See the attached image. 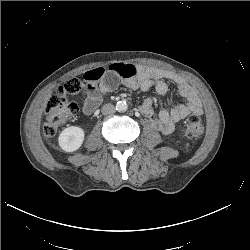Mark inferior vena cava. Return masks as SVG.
<instances>
[{
	"instance_id": "inferior-vena-cava-1",
	"label": "inferior vena cava",
	"mask_w": 250,
	"mask_h": 250,
	"mask_svg": "<svg viewBox=\"0 0 250 250\" xmlns=\"http://www.w3.org/2000/svg\"><path fill=\"white\" fill-rule=\"evenodd\" d=\"M116 109L114 107V105L108 103V104H105L103 107H102V113L103 114H113L115 113Z\"/></svg>"
}]
</instances>
